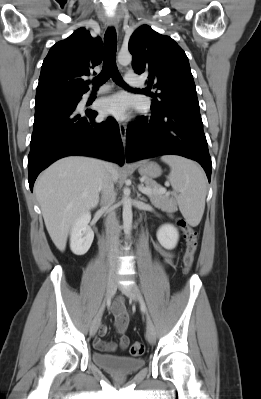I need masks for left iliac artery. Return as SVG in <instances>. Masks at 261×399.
I'll return each mask as SVG.
<instances>
[{
  "mask_svg": "<svg viewBox=\"0 0 261 399\" xmlns=\"http://www.w3.org/2000/svg\"><path fill=\"white\" fill-rule=\"evenodd\" d=\"M140 305H141V308H142V309H145V308H146L145 303H144V301L142 300V298H140Z\"/></svg>",
  "mask_w": 261,
  "mask_h": 399,
  "instance_id": "1",
  "label": "left iliac artery"
}]
</instances>
